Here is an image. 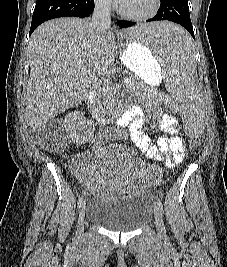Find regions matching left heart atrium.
Listing matches in <instances>:
<instances>
[{
  "label": "left heart atrium",
  "mask_w": 227,
  "mask_h": 267,
  "mask_svg": "<svg viewBox=\"0 0 227 267\" xmlns=\"http://www.w3.org/2000/svg\"><path fill=\"white\" fill-rule=\"evenodd\" d=\"M115 4L123 6L127 0H112Z\"/></svg>",
  "instance_id": "obj_1"
}]
</instances>
